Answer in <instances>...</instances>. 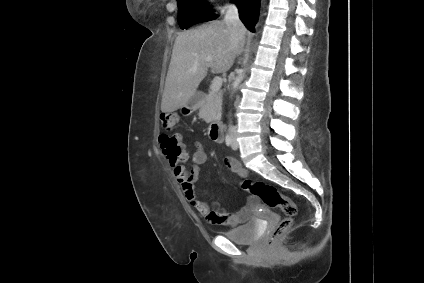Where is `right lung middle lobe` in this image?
Returning a JSON list of instances; mask_svg holds the SVG:
<instances>
[{"label": "right lung middle lobe", "mask_w": 424, "mask_h": 283, "mask_svg": "<svg viewBox=\"0 0 424 283\" xmlns=\"http://www.w3.org/2000/svg\"><path fill=\"white\" fill-rule=\"evenodd\" d=\"M178 23L181 29H187L200 22L216 19L218 16L209 12L206 0H177Z\"/></svg>", "instance_id": "right-lung-middle-lobe-1"}]
</instances>
